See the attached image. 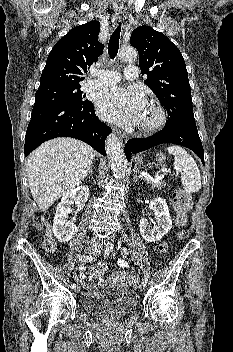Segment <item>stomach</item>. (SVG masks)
I'll return each instance as SVG.
<instances>
[{"label": "stomach", "instance_id": "1", "mask_svg": "<svg viewBox=\"0 0 233 352\" xmlns=\"http://www.w3.org/2000/svg\"><path fill=\"white\" fill-rule=\"evenodd\" d=\"M137 164H143L142 158L137 159Z\"/></svg>", "mask_w": 233, "mask_h": 352}]
</instances>
